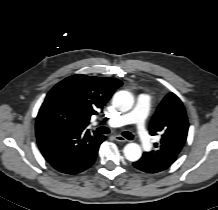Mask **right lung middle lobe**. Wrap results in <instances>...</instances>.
Segmentation results:
<instances>
[{"mask_svg":"<svg viewBox=\"0 0 218 210\" xmlns=\"http://www.w3.org/2000/svg\"><path fill=\"white\" fill-rule=\"evenodd\" d=\"M54 124L68 129H79V123L72 107L61 97L48 94L43 102L36 125Z\"/></svg>","mask_w":218,"mask_h":210,"instance_id":"dd1d6c3e","label":"right lung middle lobe"}]
</instances>
